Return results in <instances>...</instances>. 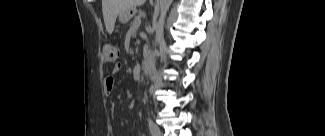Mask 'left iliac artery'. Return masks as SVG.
Returning a JSON list of instances; mask_svg holds the SVG:
<instances>
[{
	"mask_svg": "<svg viewBox=\"0 0 325 136\" xmlns=\"http://www.w3.org/2000/svg\"><path fill=\"white\" fill-rule=\"evenodd\" d=\"M147 121H148V125H149L150 132L153 135V132H154V123H153V121L150 118H148Z\"/></svg>",
	"mask_w": 325,
	"mask_h": 136,
	"instance_id": "left-iliac-artery-1",
	"label": "left iliac artery"
}]
</instances>
